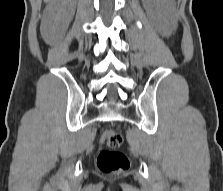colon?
<instances>
[{
	"label": "colon",
	"mask_w": 223,
	"mask_h": 191,
	"mask_svg": "<svg viewBox=\"0 0 223 191\" xmlns=\"http://www.w3.org/2000/svg\"><path fill=\"white\" fill-rule=\"evenodd\" d=\"M105 148L101 149L97 157L98 169L106 174L122 173L129 169L130 162L127 155L118 148L122 144V136L114 131H106L103 135Z\"/></svg>",
	"instance_id": "5ec220e1"
}]
</instances>
